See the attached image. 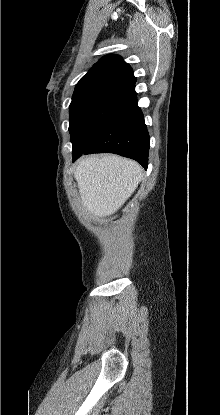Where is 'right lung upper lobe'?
Segmentation results:
<instances>
[{
  "instance_id": "obj_1",
  "label": "right lung upper lobe",
  "mask_w": 220,
  "mask_h": 415,
  "mask_svg": "<svg viewBox=\"0 0 220 415\" xmlns=\"http://www.w3.org/2000/svg\"><path fill=\"white\" fill-rule=\"evenodd\" d=\"M116 79L135 86L136 78L133 70L120 56L110 54L102 57L93 67L84 75L78 84L100 80Z\"/></svg>"
}]
</instances>
